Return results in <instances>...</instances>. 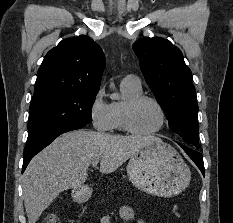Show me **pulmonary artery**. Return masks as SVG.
Here are the masks:
<instances>
[{
  "mask_svg": "<svg viewBox=\"0 0 233 223\" xmlns=\"http://www.w3.org/2000/svg\"><path fill=\"white\" fill-rule=\"evenodd\" d=\"M121 84H131V85L140 86L141 82L138 76L130 74L124 77Z\"/></svg>",
  "mask_w": 233,
  "mask_h": 223,
  "instance_id": "pulmonary-artery-1",
  "label": "pulmonary artery"
}]
</instances>
